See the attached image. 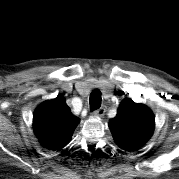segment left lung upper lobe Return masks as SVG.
I'll list each match as a JSON object with an SVG mask.
<instances>
[{
	"mask_svg": "<svg viewBox=\"0 0 179 179\" xmlns=\"http://www.w3.org/2000/svg\"><path fill=\"white\" fill-rule=\"evenodd\" d=\"M154 125L152 111L129 98L122 100L116 117L109 121L115 142L127 150H135L144 145L152 136Z\"/></svg>",
	"mask_w": 179,
	"mask_h": 179,
	"instance_id": "1",
	"label": "left lung upper lobe"
}]
</instances>
